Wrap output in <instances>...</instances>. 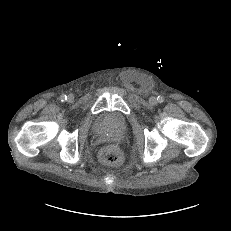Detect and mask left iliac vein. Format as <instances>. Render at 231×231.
I'll return each instance as SVG.
<instances>
[{
	"label": "left iliac vein",
	"instance_id": "left-iliac-vein-1",
	"mask_svg": "<svg viewBox=\"0 0 231 231\" xmlns=\"http://www.w3.org/2000/svg\"><path fill=\"white\" fill-rule=\"evenodd\" d=\"M149 102L152 104V105H155L157 103V99L155 97H151L149 99Z\"/></svg>",
	"mask_w": 231,
	"mask_h": 231
}]
</instances>
